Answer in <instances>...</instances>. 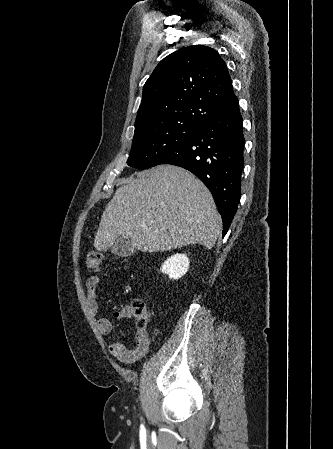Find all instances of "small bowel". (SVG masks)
<instances>
[{
  "instance_id": "small-bowel-1",
  "label": "small bowel",
  "mask_w": 333,
  "mask_h": 449,
  "mask_svg": "<svg viewBox=\"0 0 333 449\" xmlns=\"http://www.w3.org/2000/svg\"><path fill=\"white\" fill-rule=\"evenodd\" d=\"M99 283L97 276L90 277L86 282L87 304L90 313L96 318L97 329L101 334H109L112 330V323L107 317L98 316L99 313ZM130 308L124 307L115 312V317L119 319L131 318ZM151 338L146 328H138L135 332V339L130 347H126L120 342L109 345V353L122 363H134L144 357L150 348Z\"/></svg>"
}]
</instances>
